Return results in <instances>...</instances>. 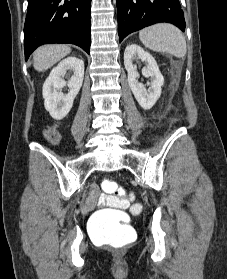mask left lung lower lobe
Wrapping results in <instances>:
<instances>
[{
    "label": "left lung lower lobe",
    "instance_id": "1",
    "mask_svg": "<svg viewBox=\"0 0 227 279\" xmlns=\"http://www.w3.org/2000/svg\"><path fill=\"white\" fill-rule=\"evenodd\" d=\"M118 34H128L159 22L172 23L183 32L186 23L179 0H117Z\"/></svg>",
    "mask_w": 227,
    "mask_h": 279
}]
</instances>
